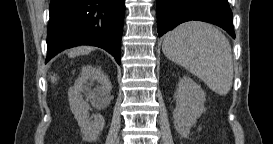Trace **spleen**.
Listing matches in <instances>:
<instances>
[{
	"label": "spleen",
	"mask_w": 273,
	"mask_h": 144,
	"mask_svg": "<svg viewBox=\"0 0 273 144\" xmlns=\"http://www.w3.org/2000/svg\"><path fill=\"white\" fill-rule=\"evenodd\" d=\"M162 50L169 60L201 79L215 93H229L233 80L231 46L213 25L183 23L165 35Z\"/></svg>",
	"instance_id": "3e777b00"
}]
</instances>
